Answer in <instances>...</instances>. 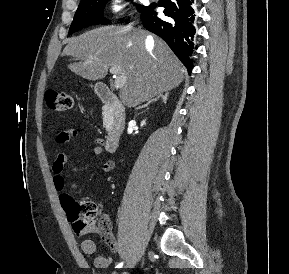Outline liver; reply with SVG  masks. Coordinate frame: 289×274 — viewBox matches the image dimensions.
Masks as SVG:
<instances>
[{"label":"liver","instance_id":"liver-1","mask_svg":"<svg viewBox=\"0 0 289 274\" xmlns=\"http://www.w3.org/2000/svg\"><path fill=\"white\" fill-rule=\"evenodd\" d=\"M62 55L76 57L69 69L90 81L119 66L126 77L120 99L129 108L176 88L186 72L164 41L132 27H99L70 38Z\"/></svg>","mask_w":289,"mask_h":274}]
</instances>
